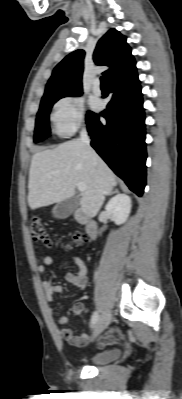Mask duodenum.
<instances>
[{
  "instance_id": "obj_1",
  "label": "duodenum",
  "mask_w": 182,
  "mask_h": 399,
  "mask_svg": "<svg viewBox=\"0 0 182 399\" xmlns=\"http://www.w3.org/2000/svg\"><path fill=\"white\" fill-rule=\"evenodd\" d=\"M77 215H78L79 219L85 223V230H86L88 237L91 240H94L96 238L97 232H98L97 224L94 221L88 219L86 213L83 210H78Z\"/></svg>"
}]
</instances>
